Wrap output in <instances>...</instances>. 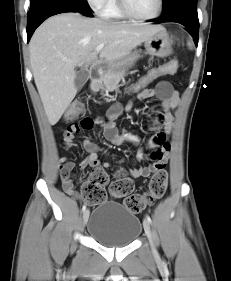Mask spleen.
Segmentation results:
<instances>
[{
  "instance_id": "3e777b00",
  "label": "spleen",
  "mask_w": 231,
  "mask_h": 281,
  "mask_svg": "<svg viewBox=\"0 0 231 281\" xmlns=\"http://www.w3.org/2000/svg\"><path fill=\"white\" fill-rule=\"evenodd\" d=\"M187 45H188V47H189L190 49H192V48H193V44H192V42H190V41H189V42L187 43Z\"/></svg>"
}]
</instances>
